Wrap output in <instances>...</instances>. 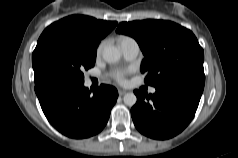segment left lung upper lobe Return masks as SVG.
Wrapping results in <instances>:
<instances>
[{
    "instance_id": "1",
    "label": "left lung upper lobe",
    "mask_w": 238,
    "mask_h": 158,
    "mask_svg": "<svg viewBox=\"0 0 238 158\" xmlns=\"http://www.w3.org/2000/svg\"><path fill=\"white\" fill-rule=\"evenodd\" d=\"M117 33L133 37L145 58L141 72L154 87L188 75H204V52L195 35L171 21L122 22Z\"/></svg>"
}]
</instances>
